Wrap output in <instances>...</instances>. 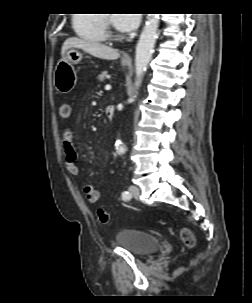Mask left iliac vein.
I'll return each instance as SVG.
<instances>
[{
	"instance_id": "1",
	"label": "left iliac vein",
	"mask_w": 252,
	"mask_h": 303,
	"mask_svg": "<svg viewBox=\"0 0 252 303\" xmlns=\"http://www.w3.org/2000/svg\"><path fill=\"white\" fill-rule=\"evenodd\" d=\"M129 192H130L131 196H133L135 199H139L140 190H139L138 186H136V185H131V186L129 187Z\"/></svg>"
}]
</instances>
